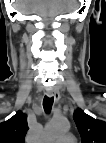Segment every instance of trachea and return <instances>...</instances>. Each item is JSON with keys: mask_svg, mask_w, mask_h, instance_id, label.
Masks as SVG:
<instances>
[{"mask_svg": "<svg viewBox=\"0 0 106 143\" xmlns=\"http://www.w3.org/2000/svg\"><path fill=\"white\" fill-rule=\"evenodd\" d=\"M53 102H54L53 98H49L47 96L44 97L43 108H44L46 113H50V111L52 109Z\"/></svg>", "mask_w": 106, "mask_h": 143, "instance_id": "obj_1", "label": "trachea"}]
</instances>
